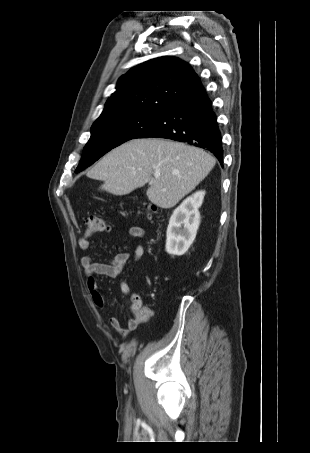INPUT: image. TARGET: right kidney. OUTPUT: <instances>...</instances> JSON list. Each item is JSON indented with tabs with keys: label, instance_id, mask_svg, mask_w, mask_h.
<instances>
[{
	"label": "right kidney",
	"instance_id": "right-kidney-1",
	"mask_svg": "<svg viewBox=\"0 0 310 453\" xmlns=\"http://www.w3.org/2000/svg\"><path fill=\"white\" fill-rule=\"evenodd\" d=\"M205 191H197L178 206L167 228L166 252L181 256L193 243L200 224L199 208L202 205Z\"/></svg>",
	"mask_w": 310,
	"mask_h": 453
}]
</instances>
